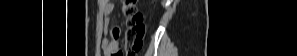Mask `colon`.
<instances>
[{"label": "colon", "mask_w": 297, "mask_h": 56, "mask_svg": "<svg viewBox=\"0 0 297 56\" xmlns=\"http://www.w3.org/2000/svg\"><path fill=\"white\" fill-rule=\"evenodd\" d=\"M122 13L126 18L125 53L126 56H136L142 49L145 34L143 16L138 10L136 0L122 1ZM122 51L114 56H122Z\"/></svg>", "instance_id": "obj_1"}]
</instances>
